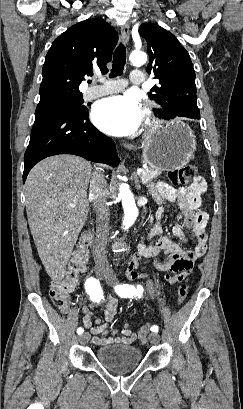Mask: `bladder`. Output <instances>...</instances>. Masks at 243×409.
<instances>
[{"instance_id":"1","label":"bladder","mask_w":243,"mask_h":409,"mask_svg":"<svg viewBox=\"0 0 243 409\" xmlns=\"http://www.w3.org/2000/svg\"><path fill=\"white\" fill-rule=\"evenodd\" d=\"M95 357L107 370L121 373L133 370L141 363L142 350L135 346L114 343L98 348Z\"/></svg>"}]
</instances>
